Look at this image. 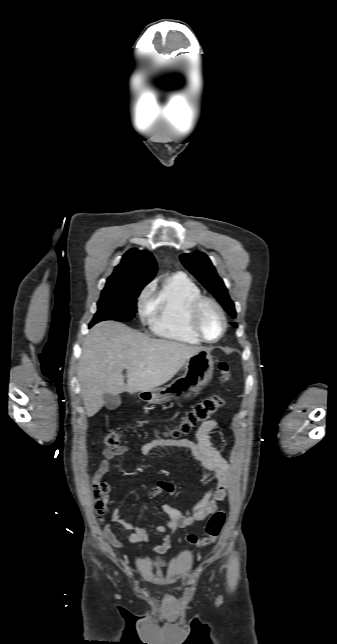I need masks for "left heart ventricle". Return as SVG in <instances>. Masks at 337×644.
Wrapping results in <instances>:
<instances>
[{
	"mask_svg": "<svg viewBox=\"0 0 337 644\" xmlns=\"http://www.w3.org/2000/svg\"><path fill=\"white\" fill-rule=\"evenodd\" d=\"M200 329L207 339H216L221 332V319L217 310L207 305L200 317Z\"/></svg>",
	"mask_w": 337,
	"mask_h": 644,
	"instance_id": "1",
	"label": "left heart ventricle"
}]
</instances>
